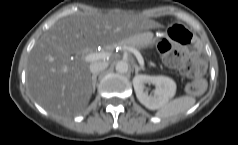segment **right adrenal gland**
<instances>
[{
  "mask_svg": "<svg viewBox=\"0 0 238 145\" xmlns=\"http://www.w3.org/2000/svg\"><path fill=\"white\" fill-rule=\"evenodd\" d=\"M96 81H97V74L92 76L93 92H95Z\"/></svg>",
  "mask_w": 238,
  "mask_h": 145,
  "instance_id": "2a0ac1e0",
  "label": "right adrenal gland"
}]
</instances>
